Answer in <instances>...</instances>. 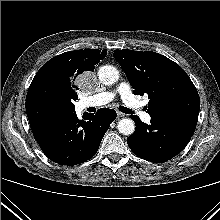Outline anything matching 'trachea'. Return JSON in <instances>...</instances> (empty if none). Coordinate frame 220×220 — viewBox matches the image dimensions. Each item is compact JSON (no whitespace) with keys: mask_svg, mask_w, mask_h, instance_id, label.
Instances as JSON below:
<instances>
[{"mask_svg":"<svg viewBox=\"0 0 220 220\" xmlns=\"http://www.w3.org/2000/svg\"><path fill=\"white\" fill-rule=\"evenodd\" d=\"M119 110L125 114H132V111L124 106H119Z\"/></svg>","mask_w":220,"mask_h":220,"instance_id":"trachea-1","label":"trachea"}]
</instances>
